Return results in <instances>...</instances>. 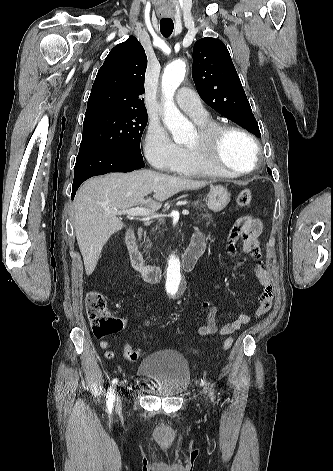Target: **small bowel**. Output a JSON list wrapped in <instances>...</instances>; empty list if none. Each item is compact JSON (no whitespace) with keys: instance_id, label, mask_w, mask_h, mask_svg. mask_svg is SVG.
Listing matches in <instances>:
<instances>
[{"instance_id":"small-bowel-1","label":"small bowel","mask_w":333,"mask_h":471,"mask_svg":"<svg viewBox=\"0 0 333 471\" xmlns=\"http://www.w3.org/2000/svg\"><path fill=\"white\" fill-rule=\"evenodd\" d=\"M262 232V223L260 220L250 217L243 216L239 218L233 228L230 230L227 237V248L228 252L232 257H239L240 253L260 259L261 249L259 244V236ZM193 240H202L206 242V237L203 233H196L192 237ZM241 242V248L239 243ZM245 259L241 260L243 263ZM253 272L257 277L261 285V293L258 297V307L255 311L254 317H260L267 313L271 306L274 296V289L272 284V278L270 273L265 268L262 262L256 264L253 268ZM204 307L207 308V316L205 321L199 326L198 333L201 336H210L218 334L220 336H229L235 331L239 330L242 326L248 324L252 317L247 313L240 314L234 321L222 325L220 328L216 322L217 308L208 304L203 303ZM144 325L150 323L146 320L142 321ZM102 350L105 351V357L111 359L114 357V351L109 349V343L106 340H102L99 343Z\"/></svg>"}]
</instances>
